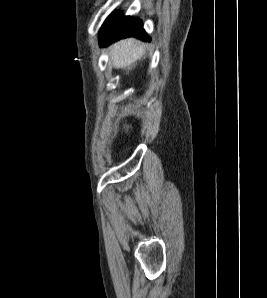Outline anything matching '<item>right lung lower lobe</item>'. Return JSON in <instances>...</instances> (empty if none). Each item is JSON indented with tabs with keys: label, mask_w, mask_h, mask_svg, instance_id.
<instances>
[{
	"label": "right lung lower lobe",
	"mask_w": 267,
	"mask_h": 298,
	"mask_svg": "<svg viewBox=\"0 0 267 298\" xmlns=\"http://www.w3.org/2000/svg\"><path fill=\"white\" fill-rule=\"evenodd\" d=\"M130 36L148 40L140 19L129 16L123 17L120 13L112 14L100 29V45L105 46L116 40Z\"/></svg>",
	"instance_id": "right-lung-lower-lobe-1"
}]
</instances>
